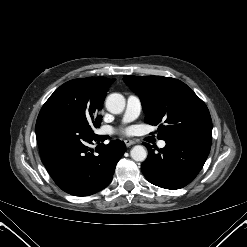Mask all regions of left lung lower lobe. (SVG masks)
Segmentation results:
<instances>
[{
	"mask_svg": "<svg viewBox=\"0 0 247 247\" xmlns=\"http://www.w3.org/2000/svg\"><path fill=\"white\" fill-rule=\"evenodd\" d=\"M166 146L156 148L144 144L148 157L141 170L146 179L161 188L180 189L189 184L202 169L210 152L212 130H190L163 139Z\"/></svg>",
	"mask_w": 247,
	"mask_h": 247,
	"instance_id": "left-lung-lower-lobe-1",
	"label": "left lung lower lobe"
}]
</instances>
